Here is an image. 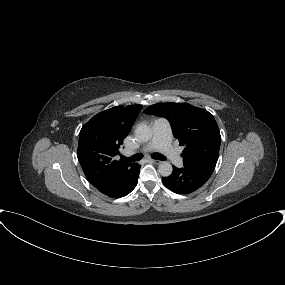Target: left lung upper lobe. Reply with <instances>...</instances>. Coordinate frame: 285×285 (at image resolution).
<instances>
[{
  "label": "left lung upper lobe",
  "mask_w": 285,
  "mask_h": 285,
  "mask_svg": "<svg viewBox=\"0 0 285 285\" xmlns=\"http://www.w3.org/2000/svg\"><path fill=\"white\" fill-rule=\"evenodd\" d=\"M147 114L165 117L180 145L184 166L197 164L216 165L221 136L218 125L207 110L187 103H159L144 110Z\"/></svg>",
  "instance_id": "5c2ea615"
}]
</instances>
